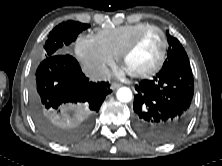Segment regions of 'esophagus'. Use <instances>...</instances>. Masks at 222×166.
I'll list each match as a JSON object with an SVG mask.
<instances>
[{"label": "esophagus", "instance_id": "obj_1", "mask_svg": "<svg viewBox=\"0 0 222 166\" xmlns=\"http://www.w3.org/2000/svg\"><path fill=\"white\" fill-rule=\"evenodd\" d=\"M120 86H121L120 84L112 83L110 88H111L112 90H116V89H118Z\"/></svg>", "mask_w": 222, "mask_h": 166}]
</instances>
